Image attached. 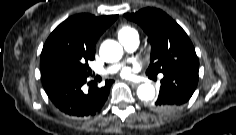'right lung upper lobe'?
<instances>
[{
	"label": "right lung upper lobe",
	"instance_id": "1",
	"mask_svg": "<svg viewBox=\"0 0 236 135\" xmlns=\"http://www.w3.org/2000/svg\"><path fill=\"white\" fill-rule=\"evenodd\" d=\"M118 15L96 17L91 14H78L62 22L47 40L65 37L77 40L87 47L95 48L101 34L117 19Z\"/></svg>",
	"mask_w": 236,
	"mask_h": 135
}]
</instances>
